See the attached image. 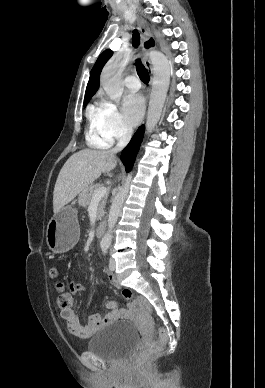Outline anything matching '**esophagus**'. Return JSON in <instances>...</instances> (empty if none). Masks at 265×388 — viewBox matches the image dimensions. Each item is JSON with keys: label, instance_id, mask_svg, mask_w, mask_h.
I'll return each mask as SVG.
<instances>
[{"label": "esophagus", "instance_id": "34e87169", "mask_svg": "<svg viewBox=\"0 0 265 388\" xmlns=\"http://www.w3.org/2000/svg\"><path fill=\"white\" fill-rule=\"evenodd\" d=\"M137 25L143 40V43H142L143 51L147 54L150 51H152L154 48H156V39L149 32V26L146 20L139 14H137ZM144 66L146 67L148 72L152 74L153 72L152 65L150 61L147 59V57H145L144 59ZM151 82L152 80L150 81V84Z\"/></svg>", "mask_w": 265, "mask_h": 388}]
</instances>
